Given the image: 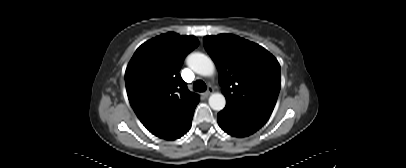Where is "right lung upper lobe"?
<instances>
[{"mask_svg": "<svg viewBox=\"0 0 406 168\" xmlns=\"http://www.w3.org/2000/svg\"><path fill=\"white\" fill-rule=\"evenodd\" d=\"M199 45L194 36L169 32L142 44L130 60L125 83L130 104L143 125L167 138L198 104L179 70L185 56Z\"/></svg>", "mask_w": 406, "mask_h": 168, "instance_id": "cb5924a9", "label": "right lung upper lobe"}]
</instances>
